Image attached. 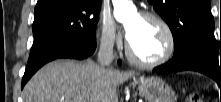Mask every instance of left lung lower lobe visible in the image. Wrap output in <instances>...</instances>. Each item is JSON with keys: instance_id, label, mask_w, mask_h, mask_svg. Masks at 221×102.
<instances>
[{"instance_id": "left-lung-lower-lobe-1", "label": "left lung lower lobe", "mask_w": 221, "mask_h": 102, "mask_svg": "<svg viewBox=\"0 0 221 102\" xmlns=\"http://www.w3.org/2000/svg\"><path fill=\"white\" fill-rule=\"evenodd\" d=\"M184 70L201 72L213 78L221 87V61H217L209 53L190 48L174 54V57L161 66L154 68L157 73H172Z\"/></svg>"}]
</instances>
